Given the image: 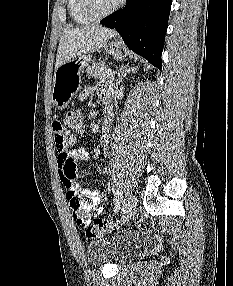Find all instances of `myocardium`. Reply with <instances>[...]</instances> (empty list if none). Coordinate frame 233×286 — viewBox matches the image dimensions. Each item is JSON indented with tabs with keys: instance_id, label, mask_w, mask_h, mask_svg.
Masks as SVG:
<instances>
[{
	"instance_id": "1",
	"label": "myocardium",
	"mask_w": 233,
	"mask_h": 286,
	"mask_svg": "<svg viewBox=\"0 0 233 286\" xmlns=\"http://www.w3.org/2000/svg\"><path fill=\"white\" fill-rule=\"evenodd\" d=\"M125 0H118L115 5L105 11H99L95 5L94 0H82L83 7L86 13L94 20L105 18L115 11H117L124 3Z\"/></svg>"
}]
</instances>
